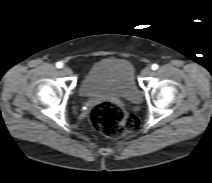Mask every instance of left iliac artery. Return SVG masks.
<instances>
[{
	"label": "left iliac artery",
	"mask_w": 212,
	"mask_h": 183,
	"mask_svg": "<svg viewBox=\"0 0 212 183\" xmlns=\"http://www.w3.org/2000/svg\"><path fill=\"white\" fill-rule=\"evenodd\" d=\"M151 68H152V70H157V69H158V65H157V64H153V65L151 66Z\"/></svg>",
	"instance_id": "left-iliac-artery-1"
}]
</instances>
